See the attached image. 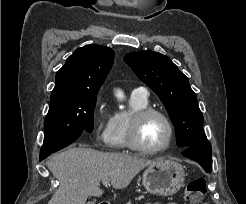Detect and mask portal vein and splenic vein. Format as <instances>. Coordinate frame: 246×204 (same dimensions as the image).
<instances>
[{
	"label": "portal vein and splenic vein",
	"mask_w": 246,
	"mask_h": 204,
	"mask_svg": "<svg viewBox=\"0 0 246 204\" xmlns=\"http://www.w3.org/2000/svg\"><path fill=\"white\" fill-rule=\"evenodd\" d=\"M102 183H103V185H109L110 184V180L109 179H103Z\"/></svg>",
	"instance_id": "portal-vein-and-splenic-vein-1"
}]
</instances>
